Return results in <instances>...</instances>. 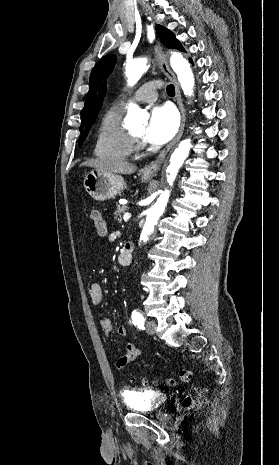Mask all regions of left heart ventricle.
Wrapping results in <instances>:
<instances>
[{"label": "left heart ventricle", "instance_id": "1", "mask_svg": "<svg viewBox=\"0 0 279 465\" xmlns=\"http://www.w3.org/2000/svg\"><path fill=\"white\" fill-rule=\"evenodd\" d=\"M144 131H145V127L144 126H141L139 128H136L133 130V133L140 136V137H143L144 135Z\"/></svg>", "mask_w": 279, "mask_h": 465}]
</instances>
